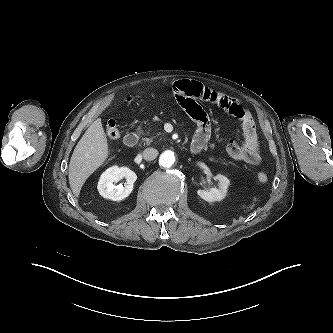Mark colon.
<instances>
[{"label":"colon","instance_id":"1","mask_svg":"<svg viewBox=\"0 0 333 333\" xmlns=\"http://www.w3.org/2000/svg\"><path fill=\"white\" fill-rule=\"evenodd\" d=\"M128 101H132V98H128ZM106 134L111 139H117L120 136V131L118 129L117 122L115 120H109L106 125ZM257 179L260 183H266L268 181V176L264 172H260L257 175Z\"/></svg>","mask_w":333,"mask_h":333}]
</instances>
